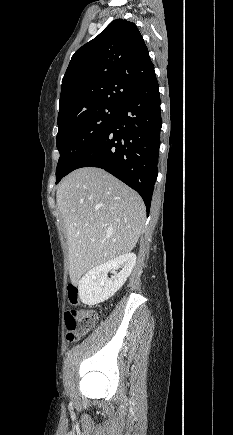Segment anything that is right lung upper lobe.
Returning <instances> with one entry per match:
<instances>
[{"mask_svg": "<svg viewBox=\"0 0 233 435\" xmlns=\"http://www.w3.org/2000/svg\"><path fill=\"white\" fill-rule=\"evenodd\" d=\"M154 74L137 26L114 20L72 56L62 79L57 123L99 106L120 107Z\"/></svg>", "mask_w": 233, "mask_h": 435, "instance_id": "obj_1", "label": "right lung upper lobe"}]
</instances>
